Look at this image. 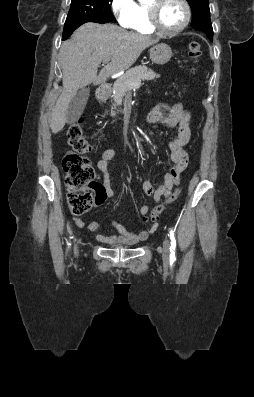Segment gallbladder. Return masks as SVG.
I'll use <instances>...</instances> for the list:
<instances>
[{"label":"gallbladder","mask_w":254,"mask_h":397,"mask_svg":"<svg viewBox=\"0 0 254 397\" xmlns=\"http://www.w3.org/2000/svg\"><path fill=\"white\" fill-rule=\"evenodd\" d=\"M89 93V88H83L73 97L66 111L67 124H73L82 115L88 101Z\"/></svg>","instance_id":"obj_1"}]
</instances>
